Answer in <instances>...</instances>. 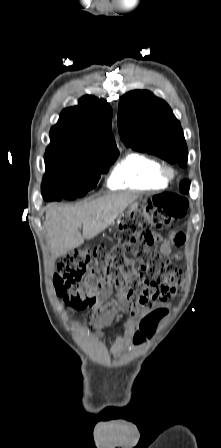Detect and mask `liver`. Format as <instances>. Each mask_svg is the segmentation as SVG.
<instances>
[{
    "mask_svg": "<svg viewBox=\"0 0 221 448\" xmlns=\"http://www.w3.org/2000/svg\"><path fill=\"white\" fill-rule=\"evenodd\" d=\"M138 195L111 194L78 206L51 207L44 223L53 258L65 255L109 227ZM83 227V234L79 229Z\"/></svg>",
    "mask_w": 221,
    "mask_h": 448,
    "instance_id": "obj_1",
    "label": "liver"
}]
</instances>
